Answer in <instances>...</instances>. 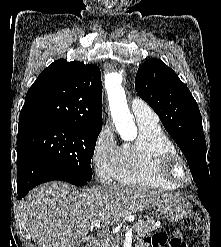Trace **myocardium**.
Instances as JSON below:
<instances>
[{
    "mask_svg": "<svg viewBox=\"0 0 221 247\" xmlns=\"http://www.w3.org/2000/svg\"><path fill=\"white\" fill-rule=\"evenodd\" d=\"M156 169L163 178L177 185H188L192 180L187 162L178 153H161L156 161Z\"/></svg>",
    "mask_w": 221,
    "mask_h": 247,
    "instance_id": "obj_1",
    "label": "myocardium"
}]
</instances>
